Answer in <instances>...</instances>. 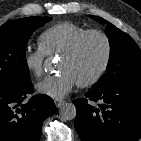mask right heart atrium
Listing matches in <instances>:
<instances>
[{
	"label": "right heart atrium",
	"mask_w": 141,
	"mask_h": 141,
	"mask_svg": "<svg viewBox=\"0 0 141 141\" xmlns=\"http://www.w3.org/2000/svg\"><path fill=\"white\" fill-rule=\"evenodd\" d=\"M47 55L46 51L40 45L34 48L31 46L26 47L23 54V62L27 71L35 77L41 76Z\"/></svg>",
	"instance_id": "right-heart-atrium-1"
}]
</instances>
